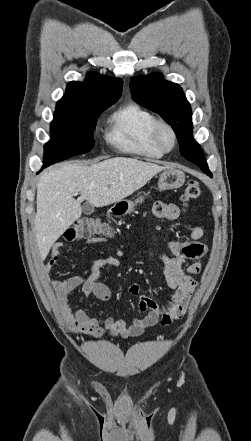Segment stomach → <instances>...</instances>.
<instances>
[{
    "instance_id": "stomach-1",
    "label": "stomach",
    "mask_w": 251,
    "mask_h": 441,
    "mask_svg": "<svg viewBox=\"0 0 251 441\" xmlns=\"http://www.w3.org/2000/svg\"><path fill=\"white\" fill-rule=\"evenodd\" d=\"M185 182V174L176 168L170 167L165 169L159 176L158 188L160 191L178 189ZM143 198L140 197L135 202L130 200H121L115 203L113 209L116 215H126L134 211L137 203H141Z\"/></svg>"
}]
</instances>
